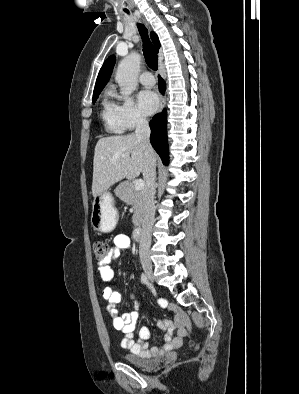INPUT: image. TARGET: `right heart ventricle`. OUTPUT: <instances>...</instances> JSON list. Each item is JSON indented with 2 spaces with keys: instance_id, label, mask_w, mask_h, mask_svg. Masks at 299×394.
<instances>
[{
  "instance_id": "e07e8e85",
  "label": "right heart ventricle",
  "mask_w": 299,
  "mask_h": 394,
  "mask_svg": "<svg viewBox=\"0 0 299 394\" xmlns=\"http://www.w3.org/2000/svg\"><path fill=\"white\" fill-rule=\"evenodd\" d=\"M108 95L109 93L107 92L105 99L103 100L102 119L104 120L105 125L109 131L119 133L123 129L115 104L108 98Z\"/></svg>"
}]
</instances>
